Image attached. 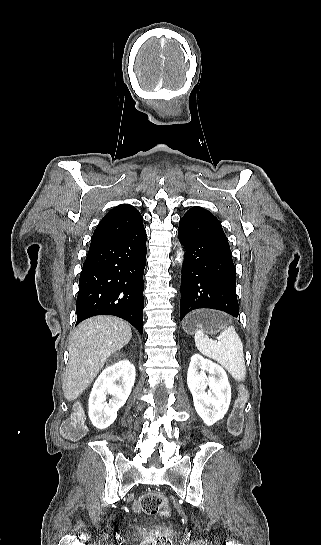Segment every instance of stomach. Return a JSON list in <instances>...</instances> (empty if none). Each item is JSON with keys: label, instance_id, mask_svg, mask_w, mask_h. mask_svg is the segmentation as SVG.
Segmentation results:
<instances>
[{"label": "stomach", "instance_id": "stomach-1", "mask_svg": "<svg viewBox=\"0 0 321 545\" xmlns=\"http://www.w3.org/2000/svg\"><path fill=\"white\" fill-rule=\"evenodd\" d=\"M225 325L223 315L218 311H209V309L193 311L183 321V329L188 335L196 333L198 329H203L207 333H219L221 329H224Z\"/></svg>", "mask_w": 321, "mask_h": 545}]
</instances>
